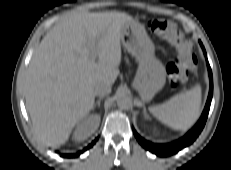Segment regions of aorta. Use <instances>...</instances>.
Returning a JSON list of instances; mask_svg holds the SVG:
<instances>
[{
    "label": "aorta",
    "instance_id": "762f6f07",
    "mask_svg": "<svg viewBox=\"0 0 231 170\" xmlns=\"http://www.w3.org/2000/svg\"><path fill=\"white\" fill-rule=\"evenodd\" d=\"M116 102L119 108L128 110L132 107V100L127 94H119L116 98Z\"/></svg>",
    "mask_w": 231,
    "mask_h": 170
}]
</instances>
